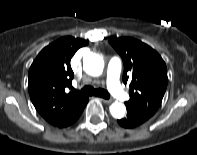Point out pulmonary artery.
Returning <instances> with one entry per match:
<instances>
[{
    "label": "pulmonary artery",
    "instance_id": "obj_1",
    "mask_svg": "<svg viewBox=\"0 0 197 155\" xmlns=\"http://www.w3.org/2000/svg\"><path fill=\"white\" fill-rule=\"evenodd\" d=\"M122 70V61L119 57H113L107 65L106 85L109 91L119 100H126L128 95L123 91L120 85V73Z\"/></svg>",
    "mask_w": 197,
    "mask_h": 155
}]
</instances>
